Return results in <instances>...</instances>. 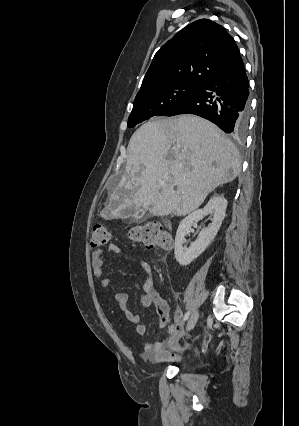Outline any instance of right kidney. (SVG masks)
<instances>
[{
  "instance_id": "1",
  "label": "right kidney",
  "mask_w": 299,
  "mask_h": 426,
  "mask_svg": "<svg viewBox=\"0 0 299 426\" xmlns=\"http://www.w3.org/2000/svg\"><path fill=\"white\" fill-rule=\"evenodd\" d=\"M226 208L227 200L221 195H214L202 209L195 210L181 221L176 232L174 248L175 258L180 265H189L211 244L221 227ZM211 212L212 222L202 229L197 240L187 248L184 245L185 236L190 232L192 224Z\"/></svg>"
}]
</instances>
